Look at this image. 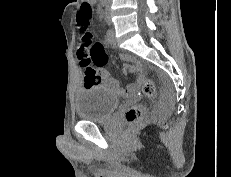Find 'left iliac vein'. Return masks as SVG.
<instances>
[{"instance_id":"obj_1","label":"left iliac vein","mask_w":231,"mask_h":177,"mask_svg":"<svg viewBox=\"0 0 231 177\" xmlns=\"http://www.w3.org/2000/svg\"><path fill=\"white\" fill-rule=\"evenodd\" d=\"M105 21L106 23H108L109 25L112 23L111 22V13H110V6L108 4L107 8H106V12H105Z\"/></svg>"}]
</instances>
